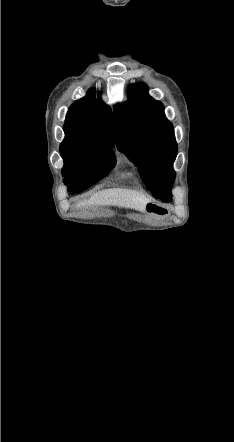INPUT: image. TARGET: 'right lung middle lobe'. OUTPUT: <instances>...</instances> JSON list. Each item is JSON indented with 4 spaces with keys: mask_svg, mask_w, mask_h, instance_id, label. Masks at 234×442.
I'll return each mask as SVG.
<instances>
[{
    "mask_svg": "<svg viewBox=\"0 0 234 442\" xmlns=\"http://www.w3.org/2000/svg\"><path fill=\"white\" fill-rule=\"evenodd\" d=\"M65 139L60 145L64 160L62 174L71 194L79 193L106 176L115 166L113 147L91 145L64 129Z\"/></svg>",
    "mask_w": 234,
    "mask_h": 442,
    "instance_id": "dd1d6c3e",
    "label": "right lung middle lobe"
}]
</instances>
